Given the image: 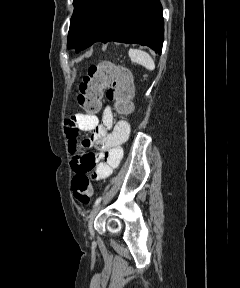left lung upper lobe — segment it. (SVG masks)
Wrapping results in <instances>:
<instances>
[{
  "label": "left lung upper lobe",
  "instance_id": "5c2ea615",
  "mask_svg": "<svg viewBox=\"0 0 240 288\" xmlns=\"http://www.w3.org/2000/svg\"><path fill=\"white\" fill-rule=\"evenodd\" d=\"M109 0H74L68 48L80 50L100 21Z\"/></svg>",
  "mask_w": 240,
  "mask_h": 288
}]
</instances>
